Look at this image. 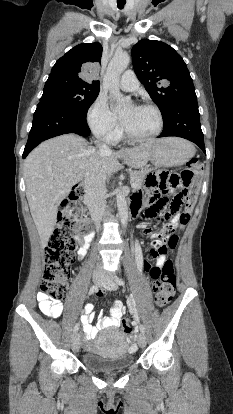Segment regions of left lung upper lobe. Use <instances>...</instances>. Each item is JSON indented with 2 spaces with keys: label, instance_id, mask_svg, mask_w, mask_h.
<instances>
[{
  "label": "left lung upper lobe",
  "instance_id": "5c2ea615",
  "mask_svg": "<svg viewBox=\"0 0 233 414\" xmlns=\"http://www.w3.org/2000/svg\"><path fill=\"white\" fill-rule=\"evenodd\" d=\"M134 71L162 117L181 100L196 98L195 88L182 57L169 45L143 39L132 48Z\"/></svg>",
  "mask_w": 233,
  "mask_h": 414
}]
</instances>
